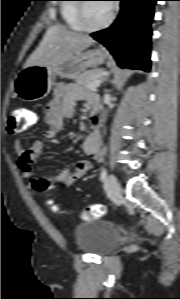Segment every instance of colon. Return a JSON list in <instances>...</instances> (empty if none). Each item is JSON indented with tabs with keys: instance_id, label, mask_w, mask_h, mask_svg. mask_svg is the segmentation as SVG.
<instances>
[{
	"instance_id": "5ec220e1",
	"label": "colon",
	"mask_w": 180,
	"mask_h": 299,
	"mask_svg": "<svg viewBox=\"0 0 180 299\" xmlns=\"http://www.w3.org/2000/svg\"><path fill=\"white\" fill-rule=\"evenodd\" d=\"M37 121V114L25 108L13 109L8 117L7 129L11 134H18L25 131ZM35 189L42 194H49L52 190V185L37 181L35 182ZM54 212L58 209L51 207ZM105 214V207L102 204H92L88 206L83 214L85 219H93L101 217Z\"/></svg>"
}]
</instances>
